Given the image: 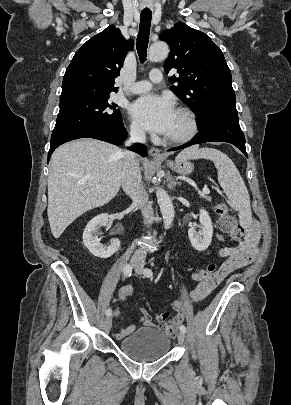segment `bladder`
<instances>
[{"instance_id":"obj_1","label":"bladder","mask_w":291,"mask_h":405,"mask_svg":"<svg viewBox=\"0 0 291 405\" xmlns=\"http://www.w3.org/2000/svg\"><path fill=\"white\" fill-rule=\"evenodd\" d=\"M170 339L162 331L142 327L123 338L118 348L129 358L138 362H152L164 357L170 349Z\"/></svg>"}]
</instances>
